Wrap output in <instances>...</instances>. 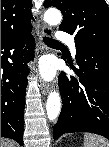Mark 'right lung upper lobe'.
<instances>
[{
  "label": "right lung upper lobe",
  "instance_id": "cb5924a9",
  "mask_svg": "<svg viewBox=\"0 0 109 147\" xmlns=\"http://www.w3.org/2000/svg\"><path fill=\"white\" fill-rule=\"evenodd\" d=\"M30 0H1V42L32 30Z\"/></svg>",
  "mask_w": 109,
  "mask_h": 147
}]
</instances>
